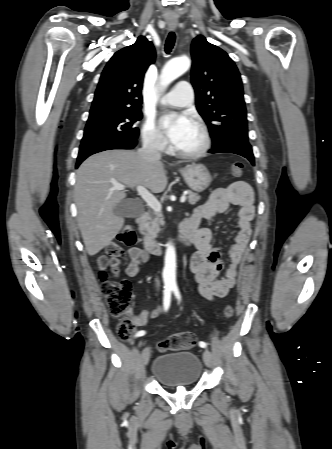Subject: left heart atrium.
Instances as JSON below:
<instances>
[{
    "label": "left heart atrium",
    "mask_w": 332,
    "mask_h": 449,
    "mask_svg": "<svg viewBox=\"0 0 332 449\" xmlns=\"http://www.w3.org/2000/svg\"><path fill=\"white\" fill-rule=\"evenodd\" d=\"M169 140L176 147L193 127L194 123L187 114L165 115L160 120Z\"/></svg>",
    "instance_id": "left-heart-atrium-1"
}]
</instances>
